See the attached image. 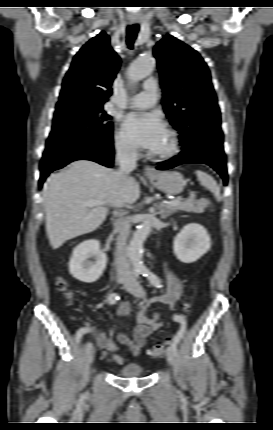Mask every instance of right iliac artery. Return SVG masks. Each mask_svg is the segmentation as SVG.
Segmentation results:
<instances>
[{
    "label": "right iliac artery",
    "mask_w": 273,
    "mask_h": 430,
    "mask_svg": "<svg viewBox=\"0 0 273 430\" xmlns=\"http://www.w3.org/2000/svg\"><path fill=\"white\" fill-rule=\"evenodd\" d=\"M138 275V273H136V276ZM120 299V296L117 293H111L108 298H107V302L110 305H114L118 300ZM88 332L86 330H77L76 333V341L80 342L81 338L83 337V335H86Z\"/></svg>",
    "instance_id": "obj_1"
}]
</instances>
